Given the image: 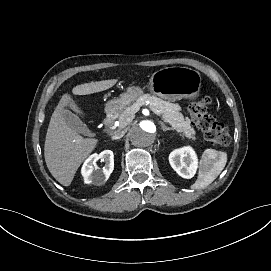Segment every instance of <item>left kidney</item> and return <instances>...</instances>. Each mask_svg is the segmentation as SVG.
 Segmentation results:
<instances>
[{
    "mask_svg": "<svg viewBox=\"0 0 271 271\" xmlns=\"http://www.w3.org/2000/svg\"><path fill=\"white\" fill-rule=\"evenodd\" d=\"M169 163L173 170L184 179L192 178L197 167L195 153L189 147L173 151L169 155Z\"/></svg>",
    "mask_w": 271,
    "mask_h": 271,
    "instance_id": "1",
    "label": "left kidney"
}]
</instances>
